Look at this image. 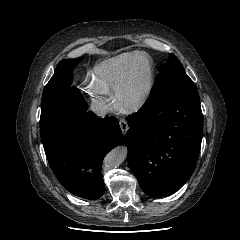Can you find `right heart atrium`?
<instances>
[{
    "label": "right heart atrium",
    "instance_id": "1",
    "mask_svg": "<svg viewBox=\"0 0 240 240\" xmlns=\"http://www.w3.org/2000/svg\"><path fill=\"white\" fill-rule=\"evenodd\" d=\"M84 86L87 92L92 95L93 97L99 96H107L109 91L105 89L103 86L98 84L95 80L87 77L84 81Z\"/></svg>",
    "mask_w": 240,
    "mask_h": 240
}]
</instances>
